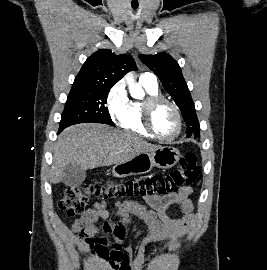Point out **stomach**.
I'll use <instances>...</instances> for the list:
<instances>
[{"instance_id": "1", "label": "stomach", "mask_w": 267, "mask_h": 270, "mask_svg": "<svg viewBox=\"0 0 267 270\" xmlns=\"http://www.w3.org/2000/svg\"><path fill=\"white\" fill-rule=\"evenodd\" d=\"M179 159L178 149L171 146H159L153 151L141 153L128 161L114 165L112 174L123 178L147 173L153 167L167 169L173 167Z\"/></svg>"}]
</instances>
